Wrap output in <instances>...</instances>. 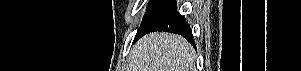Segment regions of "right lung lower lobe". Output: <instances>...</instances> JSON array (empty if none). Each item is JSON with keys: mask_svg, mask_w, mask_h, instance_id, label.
<instances>
[{"mask_svg": "<svg viewBox=\"0 0 301 71\" xmlns=\"http://www.w3.org/2000/svg\"><path fill=\"white\" fill-rule=\"evenodd\" d=\"M154 31H167L181 34L192 45H195L189 24L177 12L175 0H161L144 18L140 25L134 42L143 35Z\"/></svg>", "mask_w": 301, "mask_h": 71, "instance_id": "98d812e1", "label": "right lung lower lobe"}]
</instances>
